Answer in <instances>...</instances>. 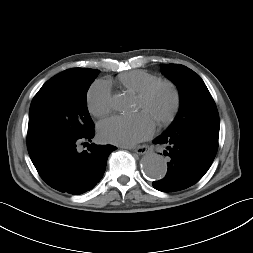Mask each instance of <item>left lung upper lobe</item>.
Wrapping results in <instances>:
<instances>
[{"label": "left lung upper lobe", "instance_id": "obj_1", "mask_svg": "<svg viewBox=\"0 0 253 253\" xmlns=\"http://www.w3.org/2000/svg\"><path fill=\"white\" fill-rule=\"evenodd\" d=\"M161 71L177 85L181 102L178 115L165 132L209 120L219 122L215 102L198 74L179 64H166Z\"/></svg>", "mask_w": 253, "mask_h": 253}]
</instances>
